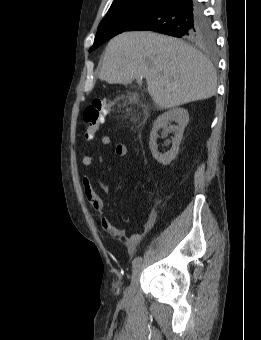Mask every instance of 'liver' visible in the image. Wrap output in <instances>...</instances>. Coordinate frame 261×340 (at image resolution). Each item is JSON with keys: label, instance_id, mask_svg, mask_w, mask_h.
Returning a JSON list of instances; mask_svg holds the SVG:
<instances>
[{"label": "liver", "instance_id": "1", "mask_svg": "<svg viewBox=\"0 0 261 340\" xmlns=\"http://www.w3.org/2000/svg\"><path fill=\"white\" fill-rule=\"evenodd\" d=\"M139 77L160 109L208 99L217 88L213 65L183 41L148 31L121 33L106 47L99 79L128 85Z\"/></svg>", "mask_w": 261, "mask_h": 340}]
</instances>
